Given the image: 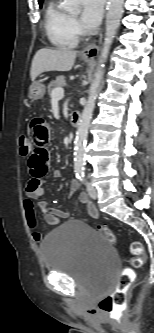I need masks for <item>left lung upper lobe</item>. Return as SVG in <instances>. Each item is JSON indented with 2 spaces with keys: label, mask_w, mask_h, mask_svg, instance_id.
I'll list each match as a JSON object with an SVG mask.
<instances>
[{
  "label": "left lung upper lobe",
  "mask_w": 154,
  "mask_h": 333,
  "mask_svg": "<svg viewBox=\"0 0 154 333\" xmlns=\"http://www.w3.org/2000/svg\"><path fill=\"white\" fill-rule=\"evenodd\" d=\"M40 7H42L43 0H38Z\"/></svg>",
  "instance_id": "1"
}]
</instances>
